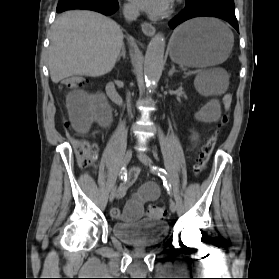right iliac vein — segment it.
I'll use <instances>...</instances> for the list:
<instances>
[{
	"mask_svg": "<svg viewBox=\"0 0 279 279\" xmlns=\"http://www.w3.org/2000/svg\"><path fill=\"white\" fill-rule=\"evenodd\" d=\"M131 158H132V151H131V150H128V151L126 152V154H125L122 167L125 168V167L127 166V164L130 162ZM117 194H118L117 187L114 186V187L112 188L111 192H110V196H109L110 202H112V201L115 199V197L117 196Z\"/></svg>",
	"mask_w": 279,
	"mask_h": 279,
	"instance_id": "63e3f726",
	"label": "right iliac vein"
}]
</instances>
